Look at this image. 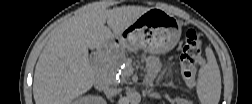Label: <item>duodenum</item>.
<instances>
[{
	"label": "duodenum",
	"instance_id": "1",
	"mask_svg": "<svg viewBox=\"0 0 252 104\" xmlns=\"http://www.w3.org/2000/svg\"><path fill=\"white\" fill-rule=\"evenodd\" d=\"M94 85L97 89L99 90H102L105 85H106V80L104 78V76L102 75H99L96 79H95V82H94Z\"/></svg>",
	"mask_w": 252,
	"mask_h": 104
}]
</instances>
